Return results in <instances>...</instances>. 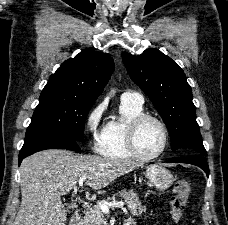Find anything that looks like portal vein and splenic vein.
<instances>
[{
  "instance_id": "1",
  "label": "portal vein and splenic vein",
  "mask_w": 228,
  "mask_h": 225,
  "mask_svg": "<svg viewBox=\"0 0 228 225\" xmlns=\"http://www.w3.org/2000/svg\"><path fill=\"white\" fill-rule=\"evenodd\" d=\"M87 177H80L78 183V188L75 189L76 193L80 192V189L83 188V183L84 181H86ZM102 213H108L109 209H111V207H124V203H115V201H113V203H106V201H100V203H98Z\"/></svg>"
}]
</instances>
